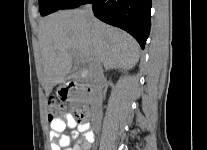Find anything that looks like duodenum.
I'll list each match as a JSON object with an SVG mask.
<instances>
[{"label": "duodenum", "instance_id": "410a0bca", "mask_svg": "<svg viewBox=\"0 0 207 150\" xmlns=\"http://www.w3.org/2000/svg\"><path fill=\"white\" fill-rule=\"evenodd\" d=\"M67 86L69 88H83L84 91L88 94V95H92L94 94L95 91V87L93 85H81L77 80L75 79H71L67 82ZM83 114V118L84 117H89L91 112H90V108L85 107L82 111Z\"/></svg>", "mask_w": 207, "mask_h": 150}]
</instances>
